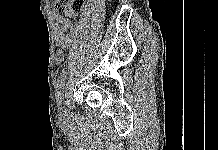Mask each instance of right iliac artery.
Returning a JSON list of instances; mask_svg holds the SVG:
<instances>
[{"label": "right iliac artery", "instance_id": "right-iliac-artery-1", "mask_svg": "<svg viewBox=\"0 0 218 150\" xmlns=\"http://www.w3.org/2000/svg\"><path fill=\"white\" fill-rule=\"evenodd\" d=\"M64 76H65V71H63V75L60 77L57 87H56V99H57L58 104L61 103L63 99Z\"/></svg>", "mask_w": 218, "mask_h": 150}]
</instances>
